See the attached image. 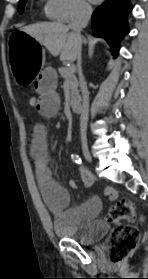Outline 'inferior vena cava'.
I'll return each mask as SVG.
<instances>
[{
    "label": "inferior vena cava",
    "instance_id": "inferior-vena-cava-1",
    "mask_svg": "<svg viewBox=\"0 0 148 279\" xmlns=\"http://www.w3.org/2000/svg\"><path fill=\"white\" fill-rule=\"evenodd\" d=\"M92 8L88 4H80L76 10L75 17L68 25L69 29L72 30V33L77 37H80V33L83 28H85L91 18ZM77 67L80 79V87L83 96V105L80 116V131H81V141L82 145L85 146L87 143L86 139V130H87V122H88V113H89V94L87 90V85L82 74L81 69V49H78L77 52Z\"/></svg>",
    "mask_w": 148,
    "mask_h": 279
}]
</instances>
